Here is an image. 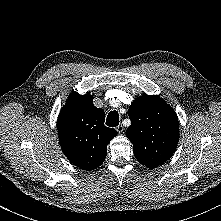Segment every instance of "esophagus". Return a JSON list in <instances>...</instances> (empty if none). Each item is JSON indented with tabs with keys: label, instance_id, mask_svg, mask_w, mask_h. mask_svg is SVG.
<instances>
[{
	"label": "esophagus",
	"instance_id": "34e87169",
	"mask_svg": "<svg viewBox=\"0 0 221 221\" xmlns=\"http://www.w3.org/2000/svg\"><path fill=\"white\" fill-rule=\"evenodd\" d=\"M116 130L118 131V133H122L124 131V127L122 124H119L117 127H116Z\"/></svg>",
	"mask_w": 221,
	"mask_h": 221
}]
</instances>
